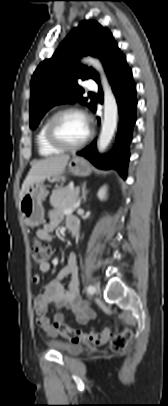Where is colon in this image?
<instances>
[{
    "mask_svg": "<svg viewBox=\"0 0 168 406\" xmlns=\"http://www.w3.org/2000/svg\"><path fill=\"white\" fill-rule=\"evenodd\" d=\"M51 254L49 246L41 243L40 241H33L31 245V257L32 262L41 266L44 265ZM56 330L65 338L72 342H86L94 345H102L110 338V332L104 330L100 333L85 332L80 329H76L71 325L63 322L55 323ZM132 332L129 329H124L118 334L111 337L110 346L113 352H122L126 349L127 344L131 338Z\"/></svg>",
    "mask_w": 168,
    "mask_h": 406,
    "instance_id": "colon-1",
    "label": "colon"
}]
</instances>
